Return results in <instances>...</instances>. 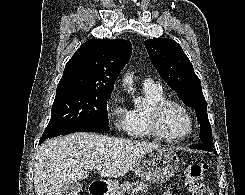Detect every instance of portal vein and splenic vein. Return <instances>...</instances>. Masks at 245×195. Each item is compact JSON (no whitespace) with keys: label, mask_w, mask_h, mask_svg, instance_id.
Returning a JSON list of instances; mask_svg holds the SVG:
<instances>
[{"label":"portal vein and splenic vein","mask_w":245,"mask_h":195,"mask_svg":"<svg viewBox=\"0 0 245 195\" xmlns=\"http://www.w3.org/2000/svg\"><path fill=\"white\" fill-rule=\"evenodd\" d=\"M103 167H104V165H97L95 168H96L97 170H101Z\"/></svg>","instance_id":"portal-vein-and-splenic-vein-1"}]
</instances>
